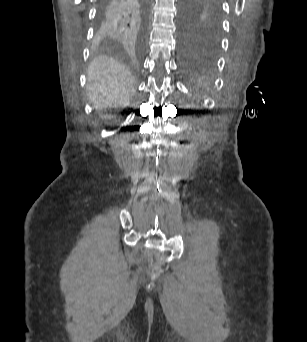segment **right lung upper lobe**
<instances>
[{
  "mask_svg": "<svg viewBox=\"0 0 307 342\" xmlns=\"http://www.w3.org/2000/svg\"><path fill=\"white\" fill-rule=\"evenodd\" d=\"M147 4V0H102L103 34L118 36L140 31L145 22Z\"/></svg>",
  "mask_w": 307,
  "mask_h": 342,
  "instance_id": "1",
  "label": "right lung upper lobe"
}]
</instances>
